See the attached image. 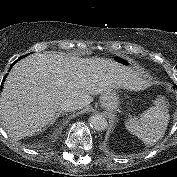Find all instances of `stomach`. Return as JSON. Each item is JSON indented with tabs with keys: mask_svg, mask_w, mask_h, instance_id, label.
<instances>
[{
	"mask_svg": "<svg viewBox=\"0 0 177 177\" xmlns=\"http://www.w3.org/2000/svg\"><path fill=\"white\" fill-rule=\"evenodd\" d=\"M100 104L103 108L114 111L120 104L119 95L115 89L107 91L100 96Z\"/></svg>",
	"mask_w": 177,
	"mask_h": 177,
	"instance_id": "1",
	"label": "stomach"
}]
</instances>
